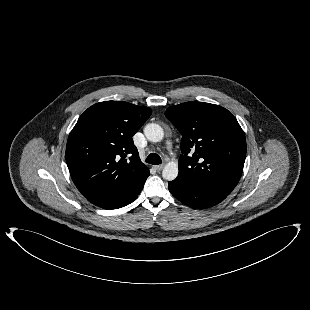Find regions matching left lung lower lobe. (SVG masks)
Instances as JSON below:
<instances>
[{"instance_id":"left-lung-lower-lobe-1","label":"left lung lower lobe","mask_w":310,"mask_h":310,"mask_svg":"<svg viewBox=\"0 0 310 310\" xmlns=\"http://www.w3.org/2000/svg\"><path fill=\"white\" fill-rule=\"evenodd\" d=\"M168 189L180 202L199 209L212 207L227 197V194L193 185L179 178L169 182Z\"/></svg>"}]
</instances>
